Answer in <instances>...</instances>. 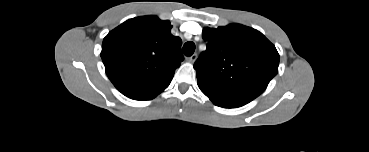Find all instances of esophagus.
<instances>
[{
  "mask_svg": "<svg viewBox=\"0 0 369 152\" xmlns=\"http://www.w3.org/2000/svg\"><path fill=\"white\" fill-rule=\"evenodd\" d=\"M197 59V54H193L192 56L187 58V61L190 63H194Z\"/></svg>",
  "mask_w": 369,
  "mask_h": 152,
  "instance_id": "obj_1",
  "label": "esophagus"
}]
</instances>
